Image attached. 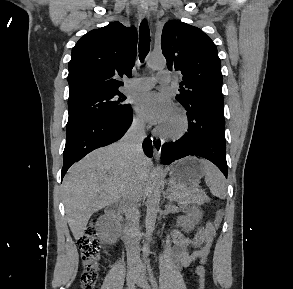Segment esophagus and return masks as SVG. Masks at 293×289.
Returning <instances> with one entry per match:
<instances>
[{"label":"esophagus","mask_w":293,"mask_h":289,"mask_svg":"<svg viewBox=\"0 0 293 289\" xmlns=\"http://www.w3.org/2000/svg\"><path fill=\"white\" fill-rule=\"evenodd\" d=\"M139 16L141 19H144L146 17L149 16V12H148V9L145 8V7H141L139 9ZM152 140V145H153V150H154V155H155V158L158 159L159 156H160V152H161V149H162V141L157 139V138H151Z\"/></svg>","instance_id":"esophagus-1"}]
</instances>
